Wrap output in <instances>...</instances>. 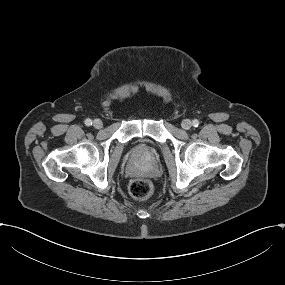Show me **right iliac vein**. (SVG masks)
Listing matches in <instances>:
<instances>
[{
  "instance_id": "obj_1",
  "label": "right iliac vein",
  "mask_w": 285,
  "mask_h": 285,
  "mask_svg": "<svg viewBox=\"0 0 285 285\" xmlns=\"http://www.w3.org/2000/svg\"><path fill=\"white\" fill-rule=\"evenodd\" d=\"M93 127L96 129H101L103 127V123L100 119H95L93 121Z\"/></svg>"
}]
</instances>
